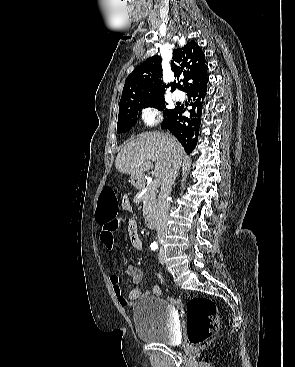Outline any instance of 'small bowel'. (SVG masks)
Listing matches in <instances>:
<instances>
[{
  "label": "small bowel",
  "instance_id": "c3829d8e",
  "mask_svg": "<svg viewBox=\"0 0 295 367\" xmlns=\"http://www.w3.org/2000/svg\"><path fill=\"white\" fill-rule=\"evenodd\" d=\"M122 208L126 211H131L132 207L128 197L123 198ZM124 222L127 223L128 236L132 247L136 250H142L143 240L139 232V227L135 218H128V219L116 218L114 221L111 222L99 223L101 225L99 232V238L101 243L108 251L113 253L115 249L114 234L119 225H121ZM113 261L116 265H118L120 263V258L116 254H113ZM125 272L129 276L132 284L134 285V287L131 289L127 297H125L122 293L119 275L112 274L109 278L110 283L112 284L113 292L117 297L118 303L124 308L132 306L133 303L138 298L141 297L142 291L140 284L143 279V271L134 265L130 264L126 265ZM160 294H161V288L158 285L153 286L151 290L145 293V295H157V296Z\"/></svg>",
  "mask_w": 295,
  "mask_h": 367
}]
</instances>
